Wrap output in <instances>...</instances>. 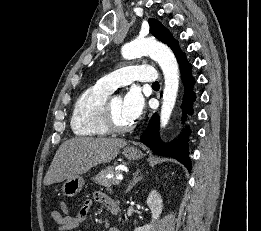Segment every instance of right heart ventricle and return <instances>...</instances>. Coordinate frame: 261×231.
<instances>
[{
	"mask_svg": "<svg viewBox=\"0 0 261 231\" xmlns=\"http://www.w3.org/2000/svg\"><path fill=\"white\" fill-rule=\"evenodd\" d=\"M112 90L96 83L76 100L70 125L74 134L83 137H102L110 131L102 123L103 106Z\"/></svg>",
	"mask_w": 261,
	"mask_h": 231,
	"instance_id": "1",
	"label": "right heart ventricle"
}]
</instances>
